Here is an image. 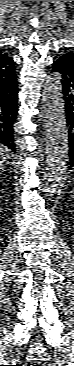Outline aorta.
<instances>
[{"mask_svg": "<svg viewBox=\"0 0 74 366\" xmlns=\"http://www.w3.org/2000/svg\"><path fill=\"white\" fill-rule=\"evenodd\" d=\"M62 88L61 77L54 73L46 80L42 94L47 140L42 191L46 196L61 189L68 168L69 137Z\"/></svg>", "mask_w": 74, "mask_h": 366, "instance_id": "1", "label": "aorta"}]
</instances>
